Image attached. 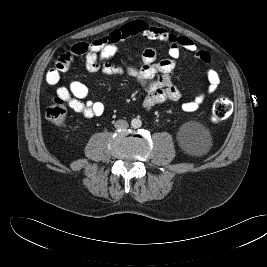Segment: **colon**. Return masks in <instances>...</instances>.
Segmentation results:
<instances>
[{
    "instance_id": "obj_1",
    "label": "colon",
    "mask_w": 267,
    "mask_h": 267,
    "mask_svg": "<svg viewBox=\"0 0 267 267\" xmlns=\"http://www.w3.org/2000/svg\"><path fill=\"white\" fill-rule=\"evenodd\" d=\"M233 111L232 101L225 96L218 97L212 106L211 119L214 123L222 122L230 117ZM46 118L53 125L57 127H63L67 120V108L65 102L56 98L46 108Z\"/></svg>"
}]
</instances>
